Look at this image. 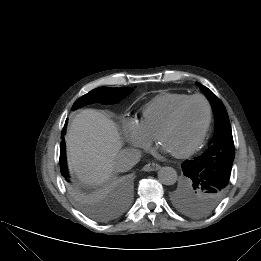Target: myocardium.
<instances>
[{"instance_id": "obj_1", "label": "myocardium", "mask_w": 261, "mask_h": 261, "mask_svg": "<svg viewBox=\"0 0 261 261\" xmlns=\"http://www.w3.org/2000/svg\"><path fill=\"white\" fill-rule=\"evenodd\" d=\"M193 100H201L204 102V104L206 106V110H207L206 122H205L203 130L200 133V135L198 136V138L189 147H187L181 151H178V152H173V155L176 157H179V158H185V157H188L191 154H193L205 140L207 133L209 131L210 125H211V120H212V107H211L209 100L201 94L191 95V96L187 97L185 100H183L181 103H179L176 106V108L173 110V112L171 113V115L169 116L167 121L163 124V126L160 128V130L158 131V133L156 135V140L158 143H160L163 134L166 133L169 129H171L175 125L183 108L190 101H193Z\"/></svg>"}]
</instances>
